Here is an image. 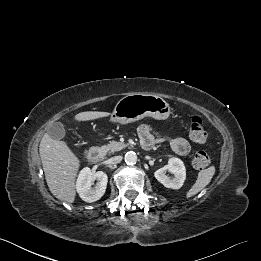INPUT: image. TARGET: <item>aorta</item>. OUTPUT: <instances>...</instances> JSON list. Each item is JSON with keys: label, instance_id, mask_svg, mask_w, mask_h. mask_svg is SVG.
<instances>
[{"label": "aorta", "instance_id": "762f6f07", "mask_svg": "<svg viewBox=\"0 0 261 261\" xmlns=\"http://www.w3.org/2000/svg\"><path fill=\"white\" fill-rule=\"evenodd\" d=\"M125 162L129 165H133L137 162V155L133 151H129L125 154Z\"/></svg>", "mask_w": 261, "mask_h": 261}]
</instances>
